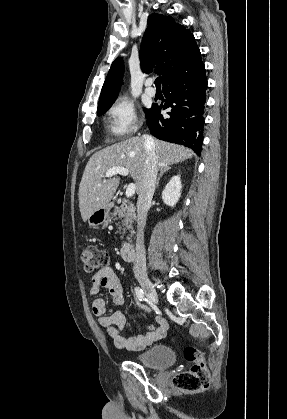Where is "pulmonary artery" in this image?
Segmentation results:
<instances>
[{"label":"pulmonary artery","instance_id":"1","mask_svg":"<svg viewBox=\"0 0 287 419\" xmlns=\"http://www.w3.org/2000/svg\"><path fill=\"white\" fill-rule=\"evenodd\" d=\"M145 93L150 97H154L156 95V90L152 87L151 79H148L145 82Z\"/></svg>","mask_w":287,"mask_h":419}]
</instances>
